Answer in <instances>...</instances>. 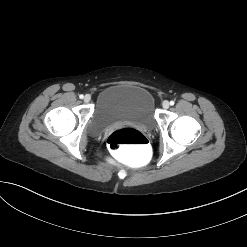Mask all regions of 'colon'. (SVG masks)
<instances>
[{
  "mask_svg": "<svg viewBox=\"0 0 247 247\" xmlns=\"http://www.w3.org/2000/svg\"><path fill=\"white\" fill-rule=\"evenodd\" d=\"M107 145L123 162L137 167L147 165L153 156L145 135L134 128L113 131L107 139Z\"/></svg>",
  "mask_w": 247,
  "mask_h": 247,
  "instance_id": "1",
  "label": "colon"
}]
</instances>
